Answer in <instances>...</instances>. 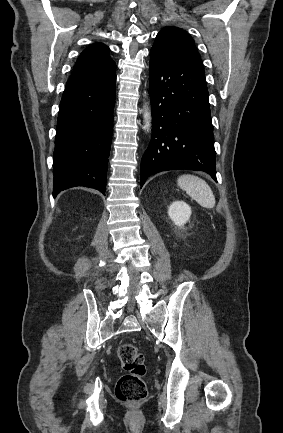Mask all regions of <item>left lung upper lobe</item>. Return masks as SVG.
Listing matches in <instances>:
<instances>
[{"mask_svg":"<svg viewBox=\"0 0 283 433\" xmlns=\"http://www.w3.org/2000/svg\"><path fill=\"white\" fill-rule=\"evenodd\" d=\"M151 50L162 51L169 55L182 57L195 62L203 68L193 39L182 29L165 27L157 35Z\"/></svg>","mask_w":283,"mask_h":433,"instance_id":"5c2ea615","label":"left lung upper lobe"}]
</instances>
